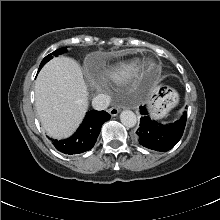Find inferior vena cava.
Returning a JSON list of instances; mask_svg holds the SVG:
<instances>
[{
  "label": "inferior vena cava",
  "mask_w": 220,
  "mask_h": 220,
  "mask_svg": "<svg viewBox=\"0 0 220 220\" xmlns=\"http://www.w3.org/2000/svg\"><path fill=\"white\" fill-rule=\"evenodd\" d=\"M111 98L106 94H98L92 99V106L96 110H104L110 104Z\"/></svg>",
  "instance_id": "inferior-vena-cava-1"
}]
</instances>
